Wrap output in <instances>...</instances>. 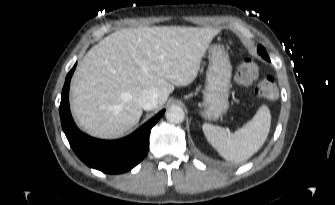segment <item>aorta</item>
Listing matches in <instances>:
<instances>
[{"instance_id":"1","label":"aorta","mask_w":335,"mask_h":205,"mask_svg":"<svg viewBox=\"0 0 335 205\" xmlns=\"http://www.w3.org/2000/svg\"><path fill=\"white\" fill-rule=\"evenodd\" d=\"M166 119L171 123H181L184 118L185 114L181 107L179 106H170L166 113H165Z\"/></svg>"}]
</instances>
